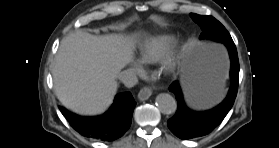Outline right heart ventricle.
<instances>
[{
	"label": "right heart ventricle",
	"instance_id": "right-heart-ventricle-1",
	"mask_svg": "<svg viewBox=\"0 0 279 148\" xmlns=\"http://www.w3.org/2000/svg\"><path fill=\"white\" fill-rule=\"evenodd\" d=\"M174 37L169 34L157 35L149 39L139 51V61L149 64L159 61L171 48Z\"/></svg>",
	"mask_w": 279,
	"mask_h": 148
}]
</instances>
